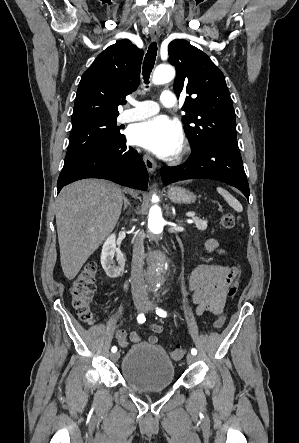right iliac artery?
Segmentation results:
<instances>
[{"mask_svg": "<svg viewBox=\"0 0 299 443\" xmlns=\"http://www.w3.org/2000/svg\"><path fill=\"white\" fill-rule=\"evenodd\" d=\"M145 320H146V318H145V316H144V313H140V314L138 315V317H137V321H138V323L142 324V323L145 322ZM111 351H112L113 353H115V352L117 351V347H116V346H113L112 349H111Z\"/></svg>", "mask_w": 299, "mask_h": 443, "instance_id": "82829eb1", "label": "right iliac artery"}]
</instances>
